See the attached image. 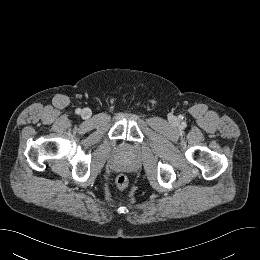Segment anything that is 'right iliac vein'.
Instances as JSON below:
<instances>
[{
  "label": "right iliac vein",
  "instance_id": "63e3f726",
  "mask_svg": "<svg viewBox=\"0 0 260 260\" xmlns=\"http://www.w3.org/2000/svg\"><path fill=\"white\" fill-rule=\"evenodd\" d=\"M91 114V110L88 108L83 109L81 112V116L83 119H89L91 117Z\"/></svg>",
  "mask_w": 260,
  "mask_h": 260
}]
</instances>
